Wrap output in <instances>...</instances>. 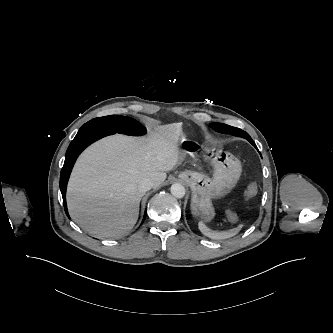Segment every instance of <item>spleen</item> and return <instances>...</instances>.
I'll return each instance as SVG.
<instances>
[{
    "label": "spleen",
    "instance_id": "obj_1",
    "mask_svg": "<svg viewBox=\"0 0 333 333\" xmlns=\"http://www.w3.org/2000/svg\"><path fill=\"white\" fill-rule=\"evenodd\" d=\"M198 226H199V230L205 236L210 237L212 239H217V240L230 238V237L238 234L239 231L241 230V228L243 227V225H239L238 227L230 229L228 231L217 232V231L210 230L203 222H199Z\"/></svg>",
    "mask_w": 333,
    "mask_h": 333
}]
</instances>
